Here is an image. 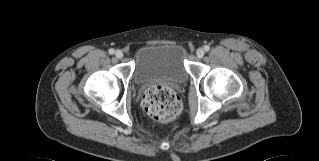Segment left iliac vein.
I'll return each instance as SVG.
<instances>
[{
  "instance_id": "obj_1",
  "label": "left iliac vein",
  "mask_w": 319,
  "mask_h": 161,
  "mask_svg": "<svg viewBox=\"0 0 319 161\" xmlns=\"http://www.w3.org/2000/svg\"><path fill=\"white\" fill-rule=\"evenodd\" d=\"M204 54H205V51L202 48L197 49L196 56L198 58H202L204 56Z\"/></svg>"
}]
</instances>
